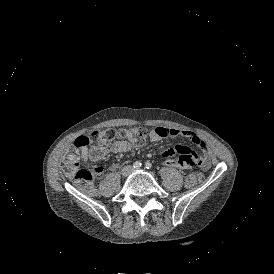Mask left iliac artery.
<instances>
[{
	"instance_id": "left-iliac-artery-1",
	"label": "left iliac artery",
	"mask_w": 274,
	"mask_h": 274,
	"mask_svg": "<svg viewBox=\"0 0 274 274\" xmlns=\"http://www.w3.org/2000/svg\"><path fill=\"white\" fill-rule=\"evenodd\" d=\"M145 167H146L147 169H151V168H152V164H151L149 161H147V162L145 163Z\"/></svg>"
}]
</instances>
